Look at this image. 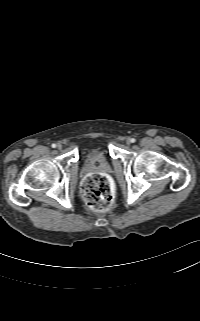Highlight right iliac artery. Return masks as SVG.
<instances>
[{
  "mask_svg": "<svg viewBox=\"0 0 200 321\" xmlns=\"http://www.w3.org/2000/svg\"><path fill=\"white\" fill-rule=\"evenodd\" d=\"M51 146H52V148H55V147H56V144H52Z\"/></svg>",
  "mask_w": 200,
  "mask_h": 321,
  "instance_id": "obj_1",
  "label": "right iliac artery"
}]
</instances>
